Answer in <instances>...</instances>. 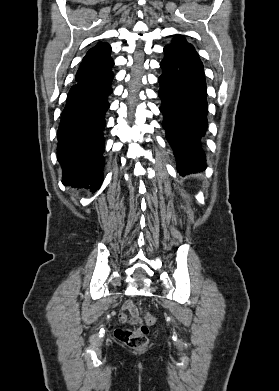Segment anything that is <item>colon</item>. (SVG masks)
Returning a JSON list of instances; mask_svg holds the SVG:
<instances>
[{
  "instance_id": "colon-1",
  "label": "colon",
  "mask_w": 279,
  "mask_h": 391,
  "mask_svg": "<svg viewBox=\"0 0 279 391\" xmlns=\"http://www.w3.org/2000/svg\"><path fill=\"white\" fill-rule=\"evenodd\" d=\"M156 322L155 316L151 314L145 315V324L141 325L137 329H131L129 327L118 328L115 331L116 338L133 349H144L148 345V326L153 325Z\"/></svg>"
}]
</instances>
